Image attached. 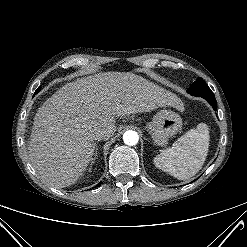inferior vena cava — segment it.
<instances>
[{
  "instance_id": "1",
  "label": "inferior vena cava",
  "mask_w": 247,
  "mask_h": 247,
  "mask_svg": "<svg viewBox=\"0 0 247 247\" xmlns=\"http://www.w3.org/2000/svg\"><path fill=\"white\" fill-rule=\"evenodd\" d=\"M93 140H101L106 137V132L103 130H95L90 134Z\"/></svg>"
}]
</instances>
